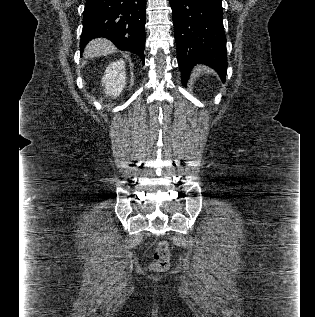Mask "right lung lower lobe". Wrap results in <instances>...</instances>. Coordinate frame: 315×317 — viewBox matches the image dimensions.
<instances>
[{
	"label": "right lung lower lobe",
	"instance_id": "1",
	"mask_svg": "<svg viewBox=\"0 0 315 317\" xmlns=\"http://www.w3.org/2000/svg\"><path fill=\"white\" fill-rule=\"evenodd\" d=\"M146 0H86L80 49L93 38L111 40L118 49L137 54L143 64Z\"/></svg>",
	"mask_w": 315,
	"mask_h": 317
}]
</instances>
